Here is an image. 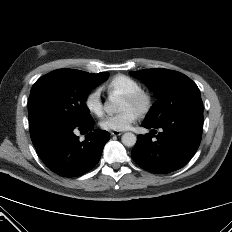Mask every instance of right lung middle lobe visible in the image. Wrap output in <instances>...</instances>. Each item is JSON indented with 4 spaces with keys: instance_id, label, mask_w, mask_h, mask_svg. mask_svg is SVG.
I'll use <instances>...</instances> for the list:
<instances>
[{
    "instance_id": "dd1d6c3e",
    "label": "right lung middle lobe",
    "mask_w": 232,
    "mask_h": 232,
    "mask_svg": "<svg viewBox=\"0 0 232 232\" xmlns=\"http://www.w3.org/2000/svg\"><path fill=\"white\" fill-rule=\"evenodd\" d=\"M108 77L107 73L59 69L39 78L30 92V125L59 123L81 126L93 121L85 104L86 97Z\"/></svg>"
}]
</instances>
